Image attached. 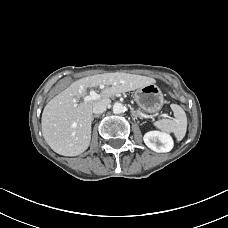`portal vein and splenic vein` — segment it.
<instances>
[{
    "label": "portal vein and splenic vein",
    "instance_id": "obj_1",
    "mask_svg": "<svg viewBox=\"0 0 228 228\" xmlns=\"http://www.w3.org/2000/svg\"><path fill=\"white\" fill-rule=\"evenodd\" d=\"M101 88H103V86H101ZM100 98V95L96 93V91L94 90H91L89 95L84 97V101L85 102H88V101H91V100H97Z\"/></svg>",
    "mask_w": 228,
    "mask_h": 228
}]
</instances>
